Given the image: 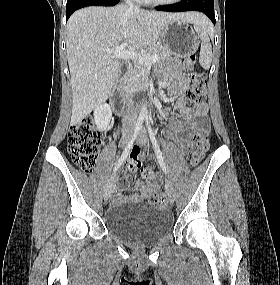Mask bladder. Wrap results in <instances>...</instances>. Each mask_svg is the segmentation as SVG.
I'll return each instance as SVG.
<instances>
[{
  "label": "bladder",
  "instance_id": "bladder-1",
  "mask_svg": "<svg viewBox=\"0 0 280 285\" xmlns=\"http://www.w3.org/2000/svg\"><path fill=\"white\" fill-rule=\"evenodd\" d=\"M105 224L115 236L136 244H149L164 236L173 225L171 212L150 203H120L109 207Z\"/></svg>",
  "mask_w": 280,
  "mask_h": 285
}]
</instances>
